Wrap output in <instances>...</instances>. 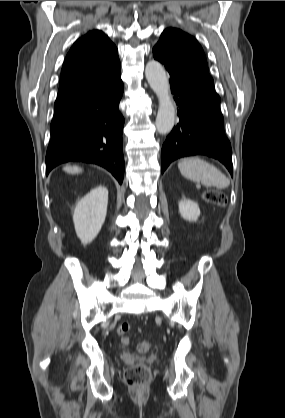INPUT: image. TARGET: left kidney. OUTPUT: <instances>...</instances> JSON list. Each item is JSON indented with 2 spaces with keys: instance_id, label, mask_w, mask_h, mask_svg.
Here are the masks:
<instances>
[{
  "instance_id": "5707ae66",
  "label": "left kidney",
  "mask_w": 285,
  "mask_h": 418,
  "mask_svg": "<svg viewBox=\"0 0 285 418\" xmlns=\"http://www.w3.org/2000/svg\"><path fill=\"white\" fill-rule=\"evenodd\" d=\"M181 217L188 221H197L200 216L198 204L190 199H182L179 204Z\"/></svg>"
}]
</instances>
